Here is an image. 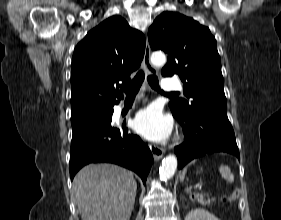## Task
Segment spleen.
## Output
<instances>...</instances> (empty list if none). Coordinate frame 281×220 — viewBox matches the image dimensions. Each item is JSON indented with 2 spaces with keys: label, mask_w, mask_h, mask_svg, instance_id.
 Instances as JSON below:
<instances>
[{
  "label": "spleen",
  "mask_w": 281,
  "mask_h": 220,
  "mask_svg": "<svg viewBox=\"0 0 281 220\" xmlns=\"http://www.w3.org/2000/svg\"><path fill=\"white\" fill-rule=\"evenodd\" d=\"M194 162L195 161H192L189 165H191ZM186 171H187V167L183 169L182 176L180 177L181 180L184 179ZM219 172L222 178L226 179L228 182L232 183L234 181V175L231 173V170L227 165H221L219 168Z\"/></svg>",
  "instance_id": "3e777b00"
}]
</instances>
